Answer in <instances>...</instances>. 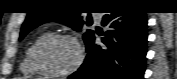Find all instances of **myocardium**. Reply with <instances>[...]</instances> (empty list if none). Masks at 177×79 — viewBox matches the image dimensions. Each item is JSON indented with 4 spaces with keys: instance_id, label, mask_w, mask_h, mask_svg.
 Masks as SVG:
<instances>
[{
    "instance_id": "myocardium-1",
    "label": "myocardium",
    "mask_w": 177,
    "mask_h": 79,
    "mask_svg": "<svg viewBox=\"0 0 177 79\" xmlns=\"http://www.w3.org/2000/svg\"><path fill=\"white\" fill-rule=\"evenodd\" d=\"M56 39L68 40L74 43L77 48V52H78L76 62L70 68L63 70V71H52L46 68L40 62V59H39L40 49L49 41L56 40ZM32 62L35 68L42 74L51 75V76H67V75H70L76 72L82 66L84 62V50L79 40L73 35L63 34V33L48 34L44 36L41 40H39L34 46L32 50Z\"/></svg>"
}]
</instances>
